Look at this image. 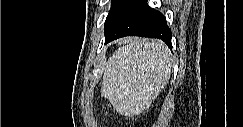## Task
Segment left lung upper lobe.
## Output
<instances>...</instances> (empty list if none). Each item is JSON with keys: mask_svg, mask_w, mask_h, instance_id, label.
<instances>
[{"mask_svg": "<svg viewBox=\"0 0 243 127\" xmlns=\"http://www.w3.org/2000/svg\"><path fill=\"white\" fill-rule=\"evenodd\" d=\"M121 2V0H111V9L109 11V14L118 6V4ZM108 14V15H109ZM106 22L105 21V25H106Z\"/></svg>", "mask_w": 243, "mask_h": 127, "instance_id": "left-lung-upper-lobe-1", "label": "left lung upper lobe"}]
</instances>
